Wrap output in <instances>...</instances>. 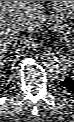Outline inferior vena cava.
<instances>
[{
    "label": "inferior vena cava",
    "instance_id": "inferior-vena-cava-1",
    "mask_svg": "<svg viewBox=\"0 0 74 122\" xmlns=\"http://www.w3.org/2000/svg\"><path fill=\"white\" fill-rule=\"evenodd\" d=\"M23 28H24V24H23V23H18V24H17V29H18L19 31H22Z\"/></svg>",
    "mask_w": 74,
    "mask_h": 122
}]
</instances>
